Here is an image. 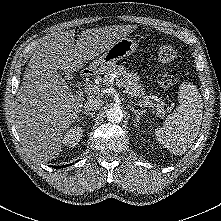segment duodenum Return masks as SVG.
Instances as JSON below:
<instances>
[{
	"label": "duodenum",
	"instance_id": "duodenum-1",
	"mask_svg": "<svg viewBox=\"0 0 221 221\" xmlns=\"http://www.w3.org/2000/svg\"><path fill=\"white\" fill-rule=\"evenodd\" d=\"M83 74H84V75H87V74H88V72H87V71H84V72H83Z\"/></svg>",
	"mask_w": 221,
	"mask_h": 221
}]
</instances>
